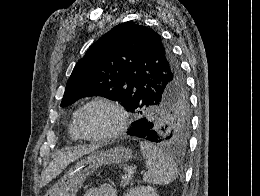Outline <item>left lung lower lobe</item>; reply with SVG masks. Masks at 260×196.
Masks as SVG:
<instances>
[{"mask_svg":"<svg viewBox=\"0 0 260 196\" xmlns=\"http://www.w3.org/2000/svg\"><path fill=\"white\" fill-rule=\"evenodd\" d=\"M127 133L155 143L160 141L159 134L154 130L152 123L144 118L134 122Z\"/></svg>","mask_w":260,"mask_h":196,"instance_id":"0a47b994","label":"left lung lower lobe"}]
</instances>
